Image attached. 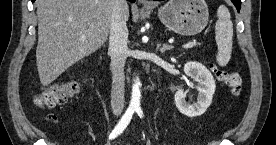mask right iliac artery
<instances>
[{"mask_svg": "<svg viewBox=\"0 0 276 145\" xmlns=\"http://www.w3.org/2000/svg\"><path fill=\"white\" fill-rule=\"evenodd\" d=\"M135 112V108L129 107L125 114L122 116L118 124L115 126L114 130L109 135V140H112L116 138L118 135H120L124 129L128 126L129 122L132 119V116Z\"/></svg>", "mask_w": 276, "mask_h": 145, "instance_id": "1", "label": "right iliac artery"}]
</instances>
